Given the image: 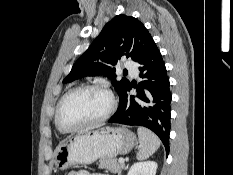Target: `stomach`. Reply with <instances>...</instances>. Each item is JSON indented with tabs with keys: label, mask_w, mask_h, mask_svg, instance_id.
<instances>
[{
	"label": "stomach",
	"mask_w": 233,
	"mask_h": 175,
	"mask_svg": "<svg viewBox=\"0 0 233 175\" xmlns=\"http://www.w3.org/2000/svg\"><path fill=\"white\" fill-rule=\"evenodd\" d=\"M136 143V135L125 127L106 126L78 133L57 147L55 166L66 170L76 164H92L97 159H113L130 152Z\"/></svg>",
	"instance_id": "0dacf381"
}]
</instances>
